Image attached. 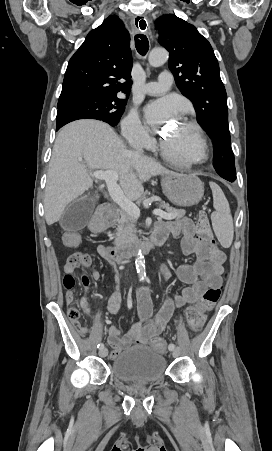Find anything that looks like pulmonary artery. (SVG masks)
Wrapping results in <instances>:
<instances>
[{"label": "pulmonary artery", "mask_w": 272, "mask_h": 451, "mask_svg": "<svg viewBox=\"0 0 272 451\" xmlns=\"http://www.w3.org/2000/svg\"><path fill=\"white\" fill-rule=\"evenodd\" d=\"M171 70L164 68L158 77L157 82L147 83L139 89V93L147 95H161L166 93L173 84V77Z\"/></svg>", "instance_id": "obj_1"}]
</instances>
